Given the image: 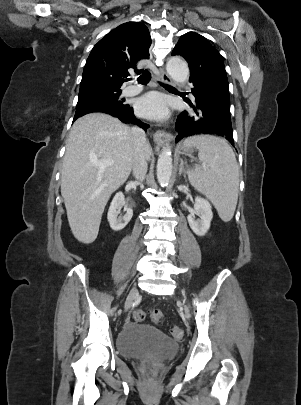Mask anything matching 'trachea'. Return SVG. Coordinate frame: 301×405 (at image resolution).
<instances>
[{
    "instance_id": "trachea-1",
    "label": "trachea",
    "mask_w": 301,
    "mask_h": 405,
    "mask_svg": "<svg viewBox=\"0 0 301 405\" xmlns=\"http://www.w3.org/2000/svg\"><path fill=\"white\" fill-rule=\"evenodd\" d=\"M150 79H151V75H150V73L149 72H147V71H145V72H143V74L142 75H140L138 78H137V81H138V83H140V84H146V83H148L149 81H150ZM163 87H165L166 89H168V90H175V88L174 87H172V86H170V85H168V84H161Z\"/></svg>"
}]
</instances>
